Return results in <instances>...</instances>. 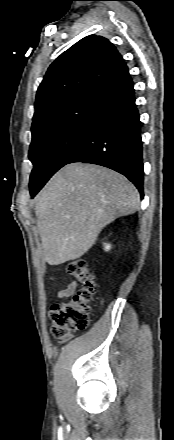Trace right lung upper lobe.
<instances>
[{
  "mask_svg": "<svg viewBox=\"0 0 174 440\" xmlns=\"http://www.w3.org/2000/svg\"><path fill=\"white\" fill-rule=\"evenodd\" d=\"M126 74V63L106 38L81 39L48 68L37 91L33 123L82 96L96 94Z\"/></svg>",
  "mask_w": 174,
  "mask_h": 440,
  "instance_id": "obj_1",
  "label": "right lung upper lobe"
}]
</instances>
